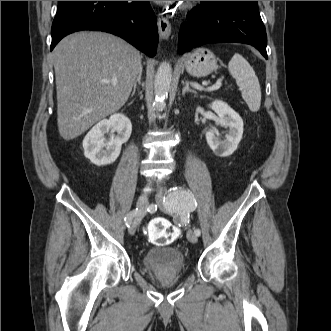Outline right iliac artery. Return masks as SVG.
<instances>
[{
	"instance_id": "obj_1",
	"label": "right iliac artery",
	"mask_w": 331,
	"mask_h": 331,
	"mask_svg": "<svg viewBox=\"0 0 331 331\" xmlns=\"http://www.w3.org/2000/svg\"><path fill=\"white\" fill-rule=\"evenodd\" d=\"M138 209H134L132 211H130L127 216L125 217V224L127 227H130V224L132 222V219L138 214Z\"/></svg>"
}]
</instances>
